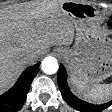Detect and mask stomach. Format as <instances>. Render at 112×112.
Masks as SVG:
<instances>
[{
  "label": "stomach",
  "mask_w": 112,
  "mask_h": 112,
  "mask_svg": "<svg viewBox=\"0 0 112 112\" xmlns=\"http://www.w3.org/2000/svg\"><path fill=\"white\" fill-rule=\"evenodd\" d=\"M62 9L78 22L95 19L94 7L81 0H65ZM88 26L78 29L73 48H56L55 51L69 63L73 76L92 84L112 75V48L104 40L96 43L101 36L91 24Z\"/></svg>",
  "instance_id": "stomach-1"
}]
</instances>
